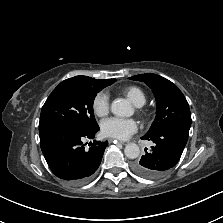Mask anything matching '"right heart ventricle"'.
<instances>
[{
  "label": "right heart ventricle",
  "mask_w": 223,
  "mask_h": 223,
  "mask_svg": "<svg viewBox=\"0 0 223 223\" xmlns=\"http://www.w3.org/2000/svg\"><path fill=\"white\" fill-rule=\"evenodd\" d=\"M121 93L124 94L135 106H142L146 102V94L138 86H125L121 89Z\"/></svg>",
  "instance_id": "e07e8e85"
}]
</instances>
